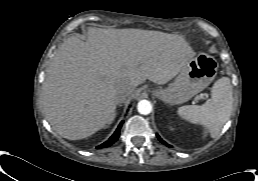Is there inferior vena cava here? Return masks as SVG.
<instances>
[{"label": "inferior vena cava", "instance_id": "inferior-vena-cava-1", "mask_svg": "<svg viewBox=\"0 0 258 181\" xmlns=\"http://www.w3.org/2000/svg\"><path fill=\"white\" fill-rule=\"evenodd\" d=\"M128 94H129L128 91H124L123 93H121V94L119 95V97H118V101H119V102L124 101V100L126 99V97H127Z\"/></svg>", "mask_w": 258, "mask_h": 181}]
</instances>
